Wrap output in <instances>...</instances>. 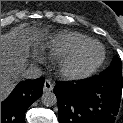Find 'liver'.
I'll return each mask as SVG.
<instances>
[{
	"mask_svg": "<svg viewBox=\"0 0 123 123\" xmlns=\"http://www.w3.org/2000/svg\"><path fill=\"white\" fill-rule=\"evenodd\" d=\"M45 33L38 27L20 24L1 35V101L22 78L29 51L44 39Z\"/></svg>",
	"mask_w": 123,
	"mask_h": 123,
	"instance_id": "liver-1",
	"label": "liver"
}]
</instances>
